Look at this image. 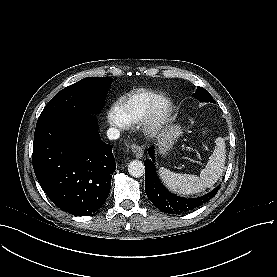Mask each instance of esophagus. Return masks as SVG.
<instances>
[{
    "label": "esophagus",
    "mask_w": 277,
    "mask_h": 277,
    "mask_svg": "<svg viewBox=\"0 0 277 277\" xmlns=\"http://www.w3.org/2000/svg\"><path fill=\"white\" fill-rule=\"evenodd\" d=\"M131 149L136 158L140 159L143 156V147L138 144H132Z\"/></svg>",
    "instance_id": "obj_1"
}]
</instances>
